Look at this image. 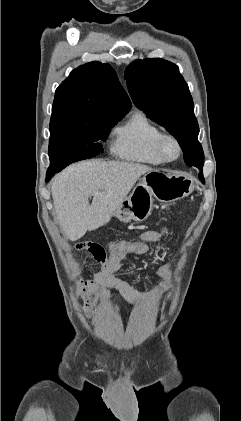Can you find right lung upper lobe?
I'll use <instances>...</instances> for the list:
<instances>
[{"instance_id":"cb5924a9","label":"right lung upper lobe","mask_w":241,"mask_h":421,"mask_svg":"<svg viewBox=\"0 0 241 421\" xmlns=\"http://www.w3.org/2000/svg\"><path fill=\"white\" fill-rule=\"evenodd\" d=\"M130 108V99L114 69L95 61L74 69L56 89L52 117H124Z\"/></svg>"}]
</instances>
